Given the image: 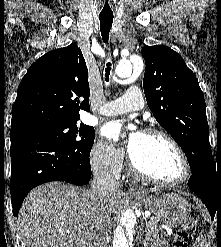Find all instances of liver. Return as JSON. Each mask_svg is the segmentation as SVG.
Instances as JSON below:
<instances>
[{
    "instance_id": "obj_1",
    "label": "liver",
    "mask_w": 221,
    "mask_h": 247,
    "mask_svg": "<svg viewBox=\"0 0 221 247\" xmlns=\"http://www.w3.org/2000/svg\"><path fill=\"white\" fill-rule=\"evenodd\" d=\"M125 193L116 191L103 205L90 190L60 182L33 189L18 216V228L27 247H92L96 236L108 234L112 213L120 210Z\"/></svg>"
}]
</instances>
